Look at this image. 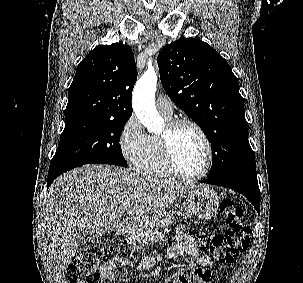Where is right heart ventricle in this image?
<instances>
[{"label": "right heart ventricle", "instance_id": "e07e8e85", "mask_svg": "<svg viewBox=\"0 0 303 283\" xmlns=\"http://www.w3.org/2000/svg\"><path fill=\"white\" fill-rule=\"evenodd\" d=\"M136 167L141 174L148 177H169L172 175L163 162L157 136H149L147 150Z\"/></svg>", "mask_w": 303, "mask_h": 283}]
</instances>
